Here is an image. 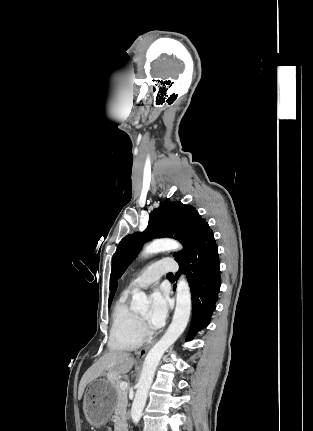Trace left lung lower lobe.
<instances>
[{
  "label": "left lung lower lobe",
  "instance_id": "1",
  "mask_svg": "<svg viewBox=\"0 0 313 431\" xmlns=\"http://www.w3.org/2000/svg\"><path fill=\"white\" fill-rule=\"evenodd\" d=\"M179 265L180 270L187 274L192 295V320L186 338L189 341L199 330L209 325L221 284L218 249L209 226L201 233L192 252Z\"/></svg>",
  "mask_w": 313,
  "mask_h": 431
}]
</instances>
